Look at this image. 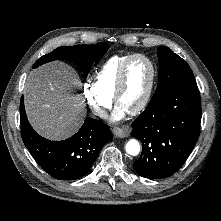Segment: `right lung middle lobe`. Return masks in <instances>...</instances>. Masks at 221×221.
<instances>
[{
	"mask_svg": "<svg viewBox=\"0 0 221 221\" xmlns=\"http://www.w3.org/2000/svg\"><path fill=\"white\" fill-rule=\"evenodd\" d=\"M108 48L109 46L107 43H101L98 45L58 47L51 53L39 58L33 65V68L50 61L66 59L79 66L83 70L84 76L86 77L87 73L90 71L91 65L102 57Z\"/></svg>",
	"mask_w": 221,
	"mask_h": 221,
	"instance_id": "1",
	"label": "right lung middle lobe"
}]
</instances>
